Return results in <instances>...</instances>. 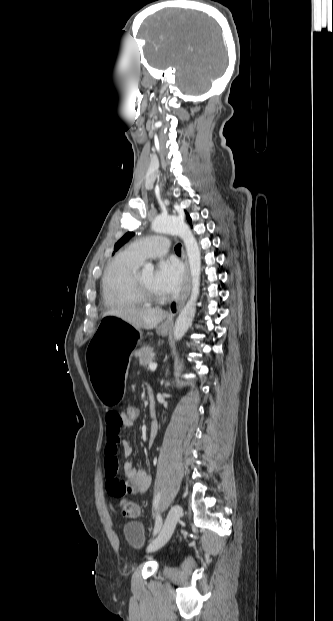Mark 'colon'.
I'll list each match as a JSON object with an SVG mask.
<instances>
[{"label":"colon","mask_w":333,"mask_h":621,"mask_svg":"<svg viewBox=\"0 0 333 621\" xmlns=\"http://www.w3.org/2000/svg\"><path fill=\"white\" fill-rule=\"evenodd\" d=\"M122 413L124 414V417L129 424H133L139 418V409L132 402H127L124 404ZM119 507L121 513L125 517L136 518L139 515L138 506L131 500L122 499L120 501Z\"/></svg>","instance_id":"5ec220e1"}]
</instances>
